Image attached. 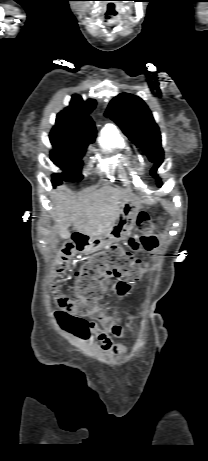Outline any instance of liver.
<instances>
[{
    "label": "liver",
    "mask_w": 208,
    "mask_h": 461,
    "mask_svg": "<svg viewBox=\"0 0 208 461\" xmlns=\"http://www.w3.org/2000/svg\"><path fill=\"white\" fill-rule=\"evenodd\" d=\"M55 207L53 218L61 238L69 239L68 230L73 224L78 233L91 237L100 236L110 230L118 217L120 204L130 200L131 195L113 187H104L90 194L74 198L61 186L53 196Z\"/></svg>",
    "instance_id": "liver-1"
}]
</instances>
